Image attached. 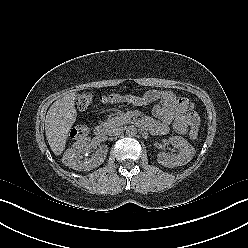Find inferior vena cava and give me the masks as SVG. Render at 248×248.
<instances>
[{
    "instance_id": "inferior-vena-cava-1",
    "label": "inferior vena cava",
    "mask_w": 248,
    "mask_h": 248,
    "mask_svg": "<svg viewBox=\"0 0 248 248\" xmlns=\"http://www.w3.org/2000/svg\"><path fill=\"white\" fill-rule=\"evenodd\" d=\"M123 129L121 127H117V128H114L112 129L109 134L112 135V136H118L122 133Z\"/></svg>"
}]
</instances>
